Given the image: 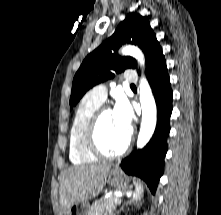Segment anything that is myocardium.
I'll use <instances>...</instances> for the list:
<instances>
[{
  "label": "myocardium",
  "instance_id": "myocardium-1",
  "mask_svg": "<svg viewBox=\"0 0 221 215\" xmlns=\"http://www.w3.org/2000/svg\"><path fill=\"white\" fill-rule=\"evenodd\" d=\"M109 111H112L110 107L100 106L93 114L86 130L85 134L86 146L88 150L97 158H104V159L120 158L129 152L133 143V136L132 133H130L128 141L125 144V146L117 152L109 153L101 147L98 140L99 125L104 114Z\"/></svg>",
  "mask_w": 221,
  "mask_h": 215
}]
</instances>
